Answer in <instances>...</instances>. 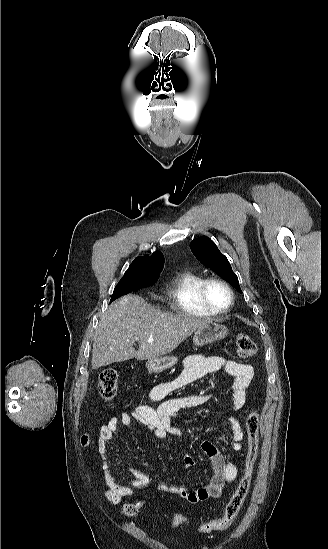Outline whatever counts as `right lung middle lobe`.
I'll use <instances>...</instances> for the list:
<instances>
[{
    "label": "right lung middle lobe",
    "instance_id": "right-lung-middle-lobe-1",
    "mask_svg": "<svg viewBox=\"0 0 328 549\" xmlns=\"http://www.w3.org/2000/svg\"><path fill=\"white\" fill-rule=\"evenodd\" d=\"M162 269L156 267H144L135 271L126 272L114 289L111 301L132 291L141 289L156 282Z\"/></svg>",
    "mask_w": 328,
    "mask_h": 549
}]
</instances>
